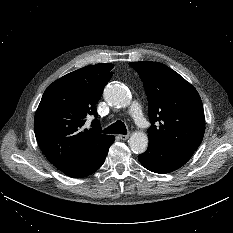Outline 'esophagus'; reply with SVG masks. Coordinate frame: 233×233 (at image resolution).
<instances>
[{
  "instance_id": "obj_1",
  "label": "esophagus",
  "mask_w": 233,
  "mask_h": 233,
  "mask_svg": "<svg viewBox=\"0 0 233 233\" xmlns=\"http://www.w3.org/2000/svg\"><path fill=\"white\" fill-rule=\"evenodd\" d=\"M119 137L121 140H127L130 137V135L129 134H126V135L122 134V135H119Z\"/></svg>"
}]
</instances>
